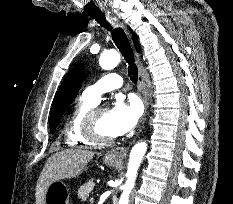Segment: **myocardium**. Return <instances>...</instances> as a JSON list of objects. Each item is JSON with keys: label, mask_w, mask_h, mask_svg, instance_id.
<instances>
[{"label": "myocardium", "mask_w": 233, "mask_h": 204, "mask_svg": "<svg viewBox=\"0 0 233 204\" xmlns=\"http://www.w3.org/2000/svg\"><path fill=\"white\" fill-rule=\"evenodd\" d=\"M106 110L105 107L95 106L91 108L85 116L83 130L85 136L95 144L108 145L115 141V137H107L98 131L97 118L100 112Z\"/></svg>", "instance_id": "1"}]
</instances>
